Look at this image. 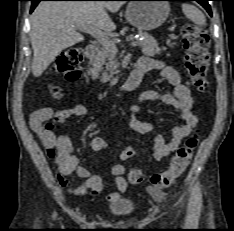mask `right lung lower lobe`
<instances>
[{"label": "right lung lower lobe", "instance_id": "obj_1", "mask_svg": "<svg viewBox=\"0 0 234 231\" xmlns=\"http://www.w3.org/2000/svg\"><path fill=\"white\" fill-rule=\"evenodd\" d=\"M30 1L32 2L30 12H32L40 1H92V0H30ZM106 1H110V0H106Z\"/></svg>", "mask_w": 234, "mask_h": 231}]
</instances>
